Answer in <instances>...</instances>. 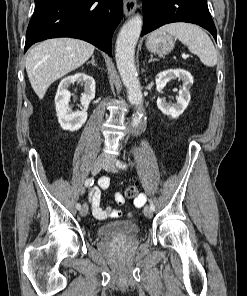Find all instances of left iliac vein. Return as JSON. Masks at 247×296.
Masks as SVG:
<instances>
[{
	"label": "left iliac vein",
	"mask_w": 247,
	"mask_h": 296,
	"mask_svg": "<svg viewBox=\"0 0 247 296\" xmlns=\"http://www.w3.org/2000/svg\"><path fill=\"white\" fill-rule=\"evenodd\" d=\"M103 168L108 172H113V173L118 172V169H117V167H116V165H115V163H114V161L112 159H107L103 163ZM144 215L147 218H151L153 216V211L151 210V208L149 206H145Z\"/></svg>",
	"instance_id": "4c4485c4"
}]
</instances>
